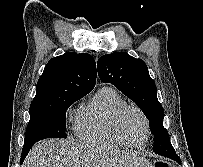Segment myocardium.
Segmentation results:
<instances>
[{"instance_id": "f54148a6", "label": "myocardium", "mask_w": 203, "mask_h": 167, "mask_svg": "<svg viewBox=\"0 0 203 167\" xmlns=\"http://www.w3.org/2000/svg\"><path fill=\"white\" fill-rule=\"evenodd\" d=\"M128 110H134L136 111L142 118L143 122H144V127H145V137L143 139V141L141 143L135 144L132 143L130 141H128L125 136L122 134L120 128H119V122L120 119L122 117V115L128 111ZM111 128L114 132V134L121 140L123 141L127 146L133 147V148H140L142 146H144L146 144V142L149 139V135H150V122L149 119L147 117V115L145 114V112L137 105L134 104H123L122 106H120L117 111L114 113L112 120H111Z\"/></svg>"}]
</instances>
